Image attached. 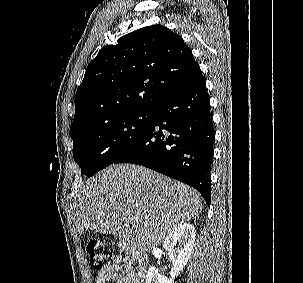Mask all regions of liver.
Segmentation results:
<instances>
[{
  "label": "liver",
  "mask_w": 303,
  "mask_h": 283,
  "mask_svg": "<svg viewBox=\"0 0 303 283\" xmlns=\"http://www.w3.org/2000/svg\"><path fill=\"white\" fill-rule=\"evenodd\" d=\"M76 234L87 230L115 234L130 218L126 241L134 251H149L177 226L196 219L200 194L190 186L142 166L111 165L78 191Z\"/></svg>",
  "instance_id": "obj_1"
}]
</instances>
